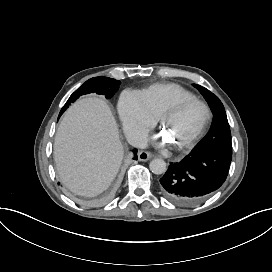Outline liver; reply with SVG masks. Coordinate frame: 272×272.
Segmentation results:
<instances>
[{"mask_svg":"<svg viewBox=\"0 0 272 272\" xmlns=\"http://www.w3.org/2000/svg\"><path fill=\"white\" fill-rule=\"evenodd\" d=\"M124 150L106 100L86 97L65 112L54 142V160L63 185L76 195L95 197L116 177Z\"/></svg>","mask_w":272,"mask_h":272,"instance_id":"1","label":"liver"}]
</instances>
